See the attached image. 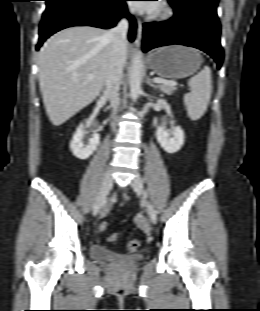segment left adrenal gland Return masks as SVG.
I'll use <instances>...</instances> for the list:
<instances>
[{
  "mask_svg": "<svg viewBox=\"0 0 260 311\" xmlns=\"http://www.w3.org/2000/svg\"><path fill=\"white\" fill-rule=\"evenodd\" d=\"M147 84H148L150 87L154 88V89H157V88H158V87L152 82V80H151L150 78L147 79Z\"/></svg>",
  "mask_w": 260,
  "mask_h": 311,
  "instance_id": "obj_1",
  "label": "left adrenal gland"
}]
</instances>
